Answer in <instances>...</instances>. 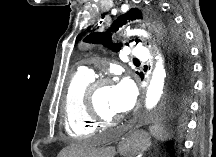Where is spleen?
I'll list each match as a JSON object with an SVG mask.
<instances>
[{"label": "spleen", "mask_w": 216, "mask_h": 157, "mask_svg": "<svg viewBox=\"0 0 216 157\" xmlns=\"http://www.w3.org/2000/svg\"><path fill=\"white\" fill-rule=\"evenodd\" d=\"M150 132L153 137H155L159 141H167L169 139V135L166 133L164 128L160 125H153L150 127Z\"/></svg>", "instance_id": "1"}]
</instances>
